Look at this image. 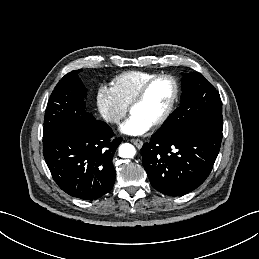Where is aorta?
Instances as JSON below:
<instances>
[{
  "label": "aorta",
  "mask_w": 259,
  "mask_h": 259,
  "mask_svg": "<svg viewBox=\"0 0 259 259\" xmlns=\"http://www.w3.org/2000/svg\"><path fill=\"white\" fill-rule=\"evenodd\" d=\"M136 154V149L132 144L124 143L119 146V156L121 158H133Z\"/></svg>",
  "instance_id": "obj_1"
}]
</instances>
